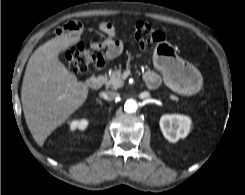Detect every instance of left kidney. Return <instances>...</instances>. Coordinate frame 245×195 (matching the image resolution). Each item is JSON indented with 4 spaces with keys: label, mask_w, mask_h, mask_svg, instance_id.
Here are the masks:
<instances>
[{
    "label": "left kidney",
    "mask_w": 245,
    "mask_h": 195,
    "mask_svg": "<svg viewBox=\"0 0 245 195\" xmlns=\"http://www.w3.org/2000/svg\"><path fill=\"white\" fill-rule=\"evenodd\" d=\"M191 120L183 115H163L160 119V128L164 137L170 142H177L185 138L190 130Z\"/></svg>",
    "instance_id": "1"
}]
</instances>
